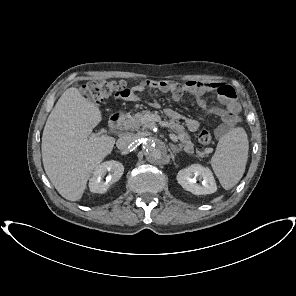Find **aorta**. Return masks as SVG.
<instances>
[{"mask_svg": "<svg viewBox=\"0 0 296 296\" xmlns=\"http://www.w3.org/2000/svg\"><path fill=\"white\" fill-rule=\"evenodd\" d=\"M142 146L148 162L152 164H161L165 161L167 152L162 145L155 143L150 138H145Z\"/></svg>", "mask_w": 296, "mask_h": 296, "instance_id": "aorta-1", "label": "aorta"}]
</instances>
